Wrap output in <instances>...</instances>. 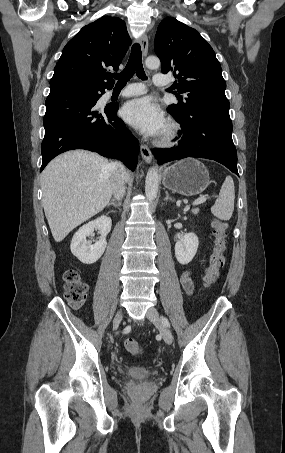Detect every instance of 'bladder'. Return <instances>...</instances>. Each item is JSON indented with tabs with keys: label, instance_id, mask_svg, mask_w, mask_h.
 I'll return each mask as SVG.
<instances>
[{
	"label": "bladder",
	"instance_id": "1",
	"mask_svg": "<svg viewBox=\"0 0 285 453\" xmlns=\"http://www.w3.org/2000/svg\"><path fill=\"white\" fill-rule=\"evenodd\" d=\"M124 374L135 379H145L154 376L156 372L145 366H130L124 371Z\"/></svg>",
	"mask_w": 285,
	"mask_h": 453
}]
</instances>
